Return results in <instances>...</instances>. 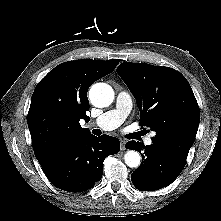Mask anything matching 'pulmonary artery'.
Here are the masks:
<instances>
[{
  "label": "pulmonary artery",
  "mask_w": 221,
  "mask_h": 221,
  "mask_svg": "<svg viewBox=\"0 0 221 221\" xmlns=\"http://www.w3.org/2000/svg\"><path fill=\"white\" fill-rule=\"evenodd\" d=\"M132 108V100L129 93L121 91L116 97L115 107L91 122L88 126H94L101 130H113L119 127L128 116ZM146 145L152 144L151 137L145 140Z\"/></svg>",
  "instance_id": "obj_1"
}]
</instances>
